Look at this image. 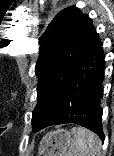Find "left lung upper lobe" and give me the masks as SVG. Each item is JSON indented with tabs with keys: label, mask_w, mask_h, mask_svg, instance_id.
I'll use <instances>...</instances> for the list:
<instances>
[{
	"label": "left lung upper lobe",
	"mask_w": 114,
	"mask_h": 156,
	"mask_svg": "<svg viewBox=\"0 0 114 156\" xmlns=\"http://www.w3.org/2000/svg\"><path fill=\"white\" fill-rule=\"evenodd\" d=\"M94 30L91 19L71 6L57 14L40 37L43 48L35 68L39 83L32 117L34 131L59 110L67 83Z\"/></svg>",
	"instance_id": "5c2ea615"
}]
</instances>
